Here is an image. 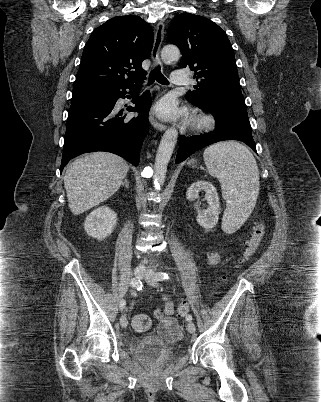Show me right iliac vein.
I'll list each match as a JSON object with an SVG mask.
<instances>
[{
  "instance_id": "63e3f726",
  "label": "right iliac vein",
  "mask_w": 321,
  "mask_h": 402,
  "mask_svg": "<svg viewBox=\"0 0 321 402\" xmlns=\"http://www.w3.org/2000/svg\"><path fill=\"white\" fill-rule=\"evenodd\" d=\"M145 274V268L143 266H137L134 270V276L137 280L142 279ZM120 324L123 328H126L128 325V321L125 316L120 318Z\"/></svg>"
}]
</instances>
